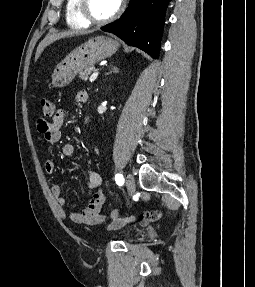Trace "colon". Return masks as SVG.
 <instances>
[{"mask_svg": "<svg viewBox=\"0 0 255 287\" xmlns=\"http://www.w3.org/2000/svg\"><path fill=\"white\" fill-rule=\"evenodd\" d=\"M42 112L45 117H51L54 114L55 111V105L54 102L51 101L50 99L43 98L40 102ZM108 217L111 219H117L121 217V211L120 210H112L108 213Z\"/></svg>", "mask_w": 255, "mask_h": 287, "instance_id": "5ec220e1", "label": "colon"}]
</instances>
